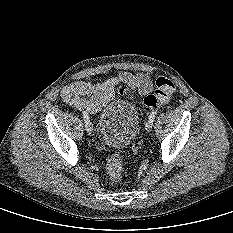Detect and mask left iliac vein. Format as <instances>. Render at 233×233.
Here are the masks:
<instances>
[{
    "label": "left iliac vein",
    "mask_w": 233,
    "mask_h": 233,
    "mask_svg": "<svg viewBox=\"0 0 233 233\" xmlns=\"http://www.w3.org/2000/svg\"><path fill=\"white\" fill-rule=\"evenodd\" d=\"M152 127H153V123L148 121L145 125V128L147 131H151L152 130Z\"/></svg>",
    "instance_id": "4c4485c4"
}]
</instances>
